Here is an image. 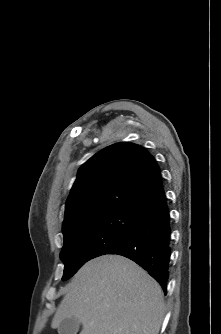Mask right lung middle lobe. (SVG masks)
<instances>
[{
    "label": "right lung middle lobe",
    "mask_w": 221,
    "mask_h": 334,
    "mask_svg": "<svg viewBox=\"0 0 221 334\" xmlns=\"http://www.w3.org/2000/svg\"><path fill=\"white\" fill-rule=\"evenodd\" d=\"M138 214L113 211L87 218L64 235L60 254L64 262L62 280L72 277L87 261L106 254L131 229Z\"/></svg>",
    "instance_id": "right-lung-middle-lobe-1"
}]
</instances>
